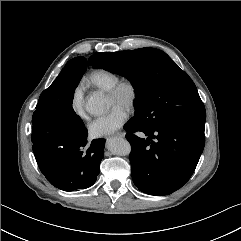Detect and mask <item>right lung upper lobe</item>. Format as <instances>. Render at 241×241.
Here are the masks:
<instances>
[{
  "mask_svg": "<svg viewBox=\"0 0 241 241\" xmlns=\"http://www.w3.org/2000/svg\"><path fill=\"white\" fill-rule=\"evenodd\" d=\"M86 66H87L86 59L82 56H79L68 61L61 72H67L70 70H82V69H86Z\"/></svg>",
  "mask_w": 241,
  "mask_h": 241,
  "instance_id": "1",
  "label": "right lung upper lobe"
}]
</instances>
